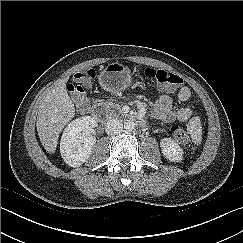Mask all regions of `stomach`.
Instances as JSON below:
<instances>
[{"label": "stomach", "mask_w": 243, "mask_h": 243, "mask_svg": "<svg viewBox=\"0 0 243 243\" xmlns=\"http://www.w3.org/2000/svg\"><path fill=\"white\" fill-rule=\"evenodd\" d=\"M99 84L109 92H120L132 83L131 72L127 66L120 63H110L102 69Z\"/></svg>", "instance_id": "stomach-1"}]
</instances>
